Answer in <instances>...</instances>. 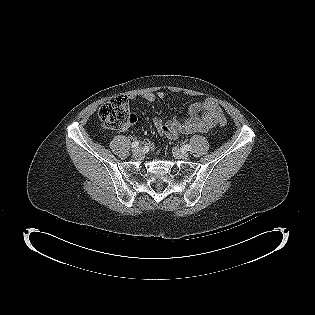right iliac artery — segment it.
I'll return each instance as SVG.
<instances>
[{"instance_id":"obj_1","label":"right iliac artery","mask_w":315,"mask_h":315,"mask_svg":"<svg viewBox=\"0 0 315 315\" xmlns=\"http://www.w3.org/2000/svg\"><path fill=\"white\" fill-rule=\"evenodd\" d=\"M138 145H139V142L138 141H134L131 146H132V148H137Z\"/></svg>"}]
</instances>
